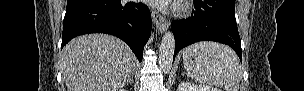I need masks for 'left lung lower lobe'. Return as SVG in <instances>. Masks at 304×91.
<instances>
[{"mask_svg": "<svg viewBox=\"0 0 304 91\" xmlns=\"http://www.w3.org/2000/svg\"><path fill=\"white\" fill-rule=\"evenodd\" d=\"M193 14L171 23L179 50L198 41H216L233 48L242 62L240 36L235 19V0H194Z\"/></svg>", "mask_w": 304, "mask_h": 91, "instance_id": "left-lung-lower-lobe-1", "label": "left lung lower lobe"}]
</instances>
